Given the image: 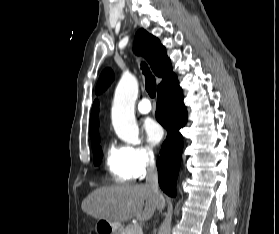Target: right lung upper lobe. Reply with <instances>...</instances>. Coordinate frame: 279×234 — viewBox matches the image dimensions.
I'll use <instances>...</instances> for the list:
<instances>
[{
	"label": "right lung upper lobe",
	"mask_w": 279,
	"mask_h": 234,
	"mask_svg": "<svg viewBox=\"0 0 279 234\" xmlns=\"http://www.w3.org/2000/svg\"><path fill=\"white\" fill-rule=\"evenodd\" d=\"M134 52L136 54H140L146 57L156 76L163 78L162 82L158 85V87L162 86L171 77L175 75L172 71L170 59L166 55L165 47L161 45L160 41L156 37L149 34L144 29H140L136 33L134 40ZM113 79L114 74L111 71V69H105L102 72L97 83L96 93L99 94L103 92L110 85ZM98 105V101L95 100L90 117L89 134L92 139V145L98 139H100L97 130L99 126V122L97 119Z\"/></svg>",
	"instance_id": "cb5924a9"
}]
</instances>
